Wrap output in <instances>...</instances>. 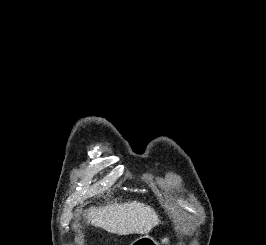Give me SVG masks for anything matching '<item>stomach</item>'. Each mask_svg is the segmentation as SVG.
<instances>
[{
	"instance_id": "stomach-1",
	"label": "stomach",
	"mask_w": 266,
	"mask_h": 245,
	"mask_svg": "<svg viewBox=\"0 0 266 245\" xmlns=\"http://www.w3.org/2000/svg\"><path fill=\"white\" fill-rule=\"evenodd\" d=\"M140 238H144L143 240L146 241V238H148V233H140ZM165 243H167V241H165Z\"/></svg>"
}]
</instances>
